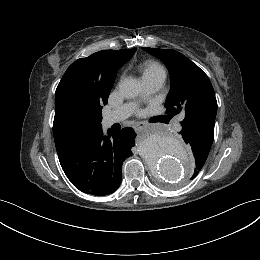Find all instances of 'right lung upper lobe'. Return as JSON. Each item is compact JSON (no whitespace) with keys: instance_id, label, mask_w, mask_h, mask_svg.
<instances>
[{"instance_id":"right-lung-upper-lobe-1","label":"right lung upper lobe","mask_w":260,"mask_h":260,"mask_svg":"<svg viewBox=\"0 0 260 260\" xmlns=\"http://www.w3.org/2000/svg\"><path fill=\"white\" fill-rule=\"evenodd\" d=\"M135 51V48L129 50H103L89 57L80 58L68 67L55 93L53 133L56 146L81 133V131L72 127L61 113L58 101L61 90L69 85L80 89L95 86L105 88L113 85L117 71L132 57Z\"/></svg>"}]
</instances>
